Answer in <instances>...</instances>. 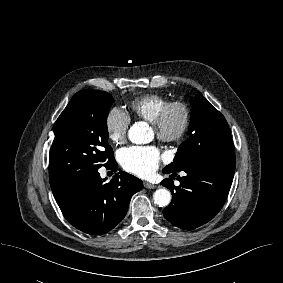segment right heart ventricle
I'll list each match as a JSON object with an SVG mask.
<instances>
[{"mask_svg": "<svg viewBox=\"0 0 283 283\" xmlns=\"http://www.w3.org/2000/svg\"><path fill=\"white\" fill-rule=\"evenodd\" d=\"M169 101L165 95L146 93L133 99L128 107L132 115L153 123L161 109Z\"/></svg>", "mask_w": 283, "mask_h": 283, "instance_id": "1", "label": "right heart ventricle"}]
</instances>
